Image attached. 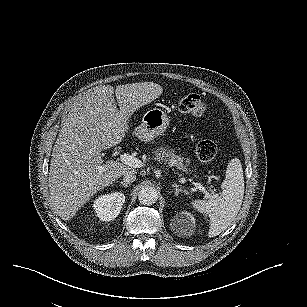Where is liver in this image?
Here are the masks:
<instances>
[{"mask_svg": "<svg viewBox=\"0 0 307 307\" xmlns=\"http://www.w3.org/2000/svg\"><path fill=\"white\" fill-rule=\"evenodd\" d=\"M162 93V86L153 82L118 85L115 90L104 85L73 102L53 146L48 177L51 206L62 220H71L93 195L126 172H136L118 161L103 163L101 152L119 144L133 113Z\"/></svg>", "mask_w": 307, "mask_h": 307, "instance_id": "6515ba94", "label": "liver"}]
</instances>
